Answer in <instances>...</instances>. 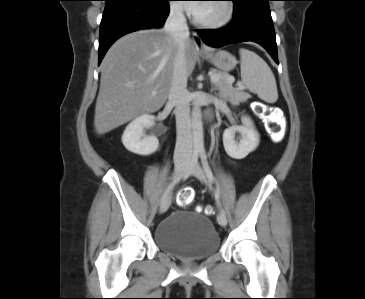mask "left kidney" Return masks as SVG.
<instances>
[{"instance_id": "obj_1", "label": "left kidney", "mask_w": 365, "mask_h": 299, "mask_svg": "<svg viewBox=\"0 0 365 299\" xmlns=\"http://www.w3.org/2000/svg\"><path fill=\"white\" fill-rule=\"evenodd\" d=\"M242 126H232L223 133V145L226 153L234 159H243L254 151L259 144V134L254 129L250 118L242 117ZM239 132L241 138L235 140V134Z\"/></svg>"}]
</instances>
